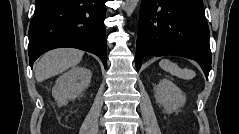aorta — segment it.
<instances>
[{
  "mask_svg": "<svg viewBox=\"0 0 239 134\" xmlns=\"http://www.w3.org/2000/svg\"><path fill=\"white\" fill-rule=\"evenodd\" d=\"M139 0H127L126 6L124 8L127 16H131L138 5Z\"/></svg>",
  "mask_w": 239,
  "mask_h": 134,
  "instance_id": "762f6f07",
  "label": "aorta"
}]
</instances>
